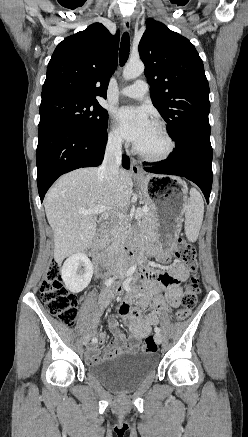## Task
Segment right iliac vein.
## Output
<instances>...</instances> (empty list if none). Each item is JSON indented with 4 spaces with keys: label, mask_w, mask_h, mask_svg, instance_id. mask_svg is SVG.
Here are the masks:
<instances>
[{
    "label": "right iliac vein",
    "mask_w": 248,
    "mask_h": 437,
    "mask_svg": "<svg viewBox=\"0 0 248 437\" xmlns=\"http://www.w3.org/2000/svg\"><path fill=\"white\" fill-rule=\"evenodd\" d=\"M89 341H90V336L89 335H85L83 337V344L87 345L89 343Z\"/></svg>",
    "instance_id": "63e3f726"
}]
</instances>
